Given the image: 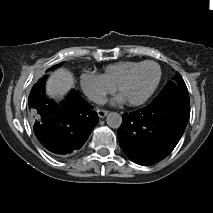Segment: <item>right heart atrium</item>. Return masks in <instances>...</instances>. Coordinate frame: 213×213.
Here are the masks:
<instances>
[{
	"mask_svg": "<svg viewBox=\"0 0 213 213\" xmlns=\"http://www.w3.org/2000/svg\"><path fill=\"white\" fill-rule=\"evenodd\" d=\"M80 85L86 96L97 104L103 103L115 90L101 75L91 71L81 74Z\"/></svg>",
	"mask_w": 213,
	"mask_h": 213,
	"instance_id": "right-heart-atrium-1",
	"label": "right heart atrium"
}]
</instances>
